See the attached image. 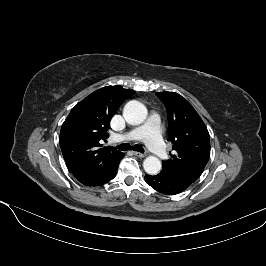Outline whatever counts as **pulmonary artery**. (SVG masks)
<instances>
[{
	"instance_id": "pulmonary-artery-1",
	"label": "pulmonary artery",
	"mask_w": 266,
	"mask_h": 266,
	"mask_svg": "<svg viewBox=\"0 0 266 266\" xmlns=\"http://www.w3.org/2000/svg\"><path fill=\"white\" fill-rule=\"evenodd\" d=\"M120 140H144L150 150L159 158L164 159L167 152L160 134V118L152 114L141 126L120 135Z\"/></svg>"
}]
</instances>
